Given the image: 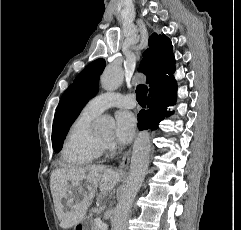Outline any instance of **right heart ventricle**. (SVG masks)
<instances>
[{"label":"right heart ventricle","instance_id":"1","mask_svg":"<svg viewBox=\"0 0 241 230\" xmlns=\"http://www.w3.org/2000/svg\"><path fill=\"white\" fill-rule=\"evenodd\" d=\"M96 116L83 110L70 125L61 151L64 164L86 165L100 156L101 146L94 141L91 132V125Z\"/></svg>","mask_w":241,"mask_h":230}]
</instances>
